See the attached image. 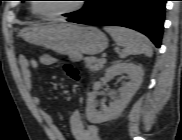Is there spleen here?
<instances>
[{
    "mask_svg": "<svg viewBox=\"0 0 182 140\" xmlns=\"http://www.w3.org/2000/svg\"><path fill=\"white\" fill-rule=\"evenodd\" d=\"M104 30L108 32L114 41L122 46L120 58H125L129 55L145 54L151 57L153 54L152 46L147 37L124 27L106 26Z\"/></svg>",
    "mask_w": 182,
    "mask_h": 140,
    "instance_id": "obj_1",
    "label": "spleen"
}]
</instances>
